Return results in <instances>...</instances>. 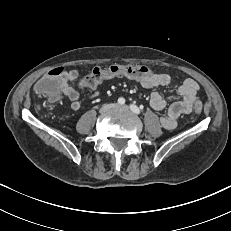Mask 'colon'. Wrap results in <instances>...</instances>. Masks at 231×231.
Instances as JSON below:
<instances>
[{
    "instance_id": "5ec220e1",
    "label": "colon",
    "mask_w": 231,
    "mask_h": 231,
    "mask_svg": "<svg viewBox=\"0 0 231 231\" xmlns=\"http://www.w3.org/2000/svg\"><path fill=\"white\" fill-rule=\"evenodd\" d=\"M63 68H54L49 74L44 76L37 84L34 86V91L37 94H43L48 96L51 100H58L60 98V88L57 82V77L62 73ZM163 74V72H148V68L145 66L137 65H119L114 64L108 67H95L80 83L83 88H95L102 81L113 78L116 76H125L128 77L131 81H134V84L137 85V79L140 76L145 75H155ZM190 108L194 112L195 116H200L201 112L205 110V103L203 100H191Z\"/></svg>"
}]
</instances>
